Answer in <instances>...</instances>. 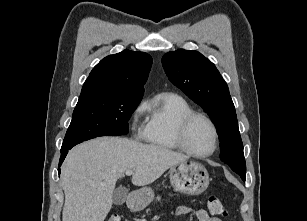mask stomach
<instances>
[{
	"mask_svg": "<svg viewBox=\"0 0 307 221\" xmlns=\"http://www.w3.org/2000/svg\"><path fill=\"white\" fill-rule=\"evenodd\" d=\"M170 182L173 188L183 194L199 195L204 192L210 182L206 168L199 162L184 161L170 169ZM154 198V192L149 187L137 191V199L133 207L143 208Z\"/></svg>",
	"mask_w": 307,
	"mask_h": 221,
	"instance_id": "1",
	"label": "stomach"
}]
</instances>
